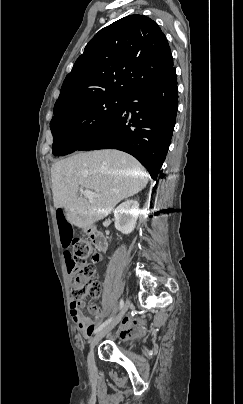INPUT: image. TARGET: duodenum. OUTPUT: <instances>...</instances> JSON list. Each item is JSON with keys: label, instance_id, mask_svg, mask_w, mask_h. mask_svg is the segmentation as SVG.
Masks as SVG:
<instances>
[{"label": "duodenum", "instance_id": "obj_1", "mask_svg": "<svg viewBox=\"0 0 243 404\" xmlns=\"http://www.w3.org/2000/svg\"><path fill=\"white\" fill-rule=\"evenodd\" d=\"M88 233H89L91 240L96 245V247L100 251L104 252L106 250V246H107L105 236L100 231H98L97 229H95L93 227L88 230Z\"/></svg>", "mask_w": 243, "mask_h": 404}]
</instances>
